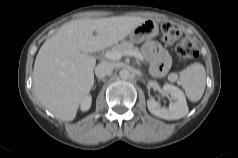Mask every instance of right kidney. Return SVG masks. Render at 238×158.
<instances>
[{"label": "right kidney", "mask_w": 238, "mask_h": 158, "mask_svg": "<svg viewBox=\"0 0 238 158\" xmlns=\"http://www.w3.org/2000/svg\"><path fill=\"white\" fill-rule=\"evenodd\" d=\"M90 106H91V97L87 96L82 101L80 108L83 112H85V111L89 110Z\"/></svg>", "instance_id": "obj_1"}]
</instances>
